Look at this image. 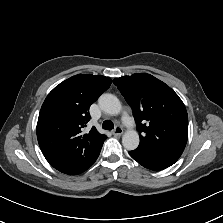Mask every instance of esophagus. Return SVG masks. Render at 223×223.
Instances as JSON below:
<instances>
[{
	"label": "esophagus",
	"mask_w": 223,
	"mask_h": 223,
	"mask_svg": "<svg viewBox=\"0 0 223 223\" xmlns=\"http://www.w3.org/2000/svg\"><path fill=\"white\" fill-rule=\"evenodd\" d=\"M112 134L114 136H120L123 134V129L120 125H116V127L114 128V130L112 131Z\"/></svg>",
	"instance_id": "obj_1"
}]
</instances>
